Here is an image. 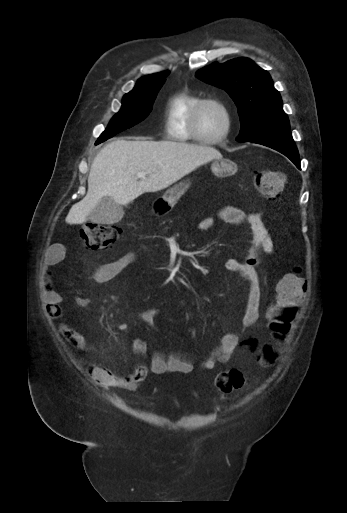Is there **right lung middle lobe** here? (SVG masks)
I'll use <instances>...</instances> for the list:
<instances>
[{
  "mask_svg": "<svg viewBox=\"0 0 347 513\" xmlns=\"http://www.w3.org/2000/svg\"><path fill=\"white\" fill-rule=\"evenodd\" d=\"M165 78L136 85L122 100L120 111L111 119L97 141L104 142L117 133L126 130L147 117Z\"/></svg>",
  "mask_w": 347,
  "mask_h": 513,
  "instance_id": "right-lung-middle-lobe-1",
  "label": "right lung middle lobe"
}]
</instances>
